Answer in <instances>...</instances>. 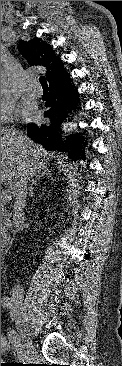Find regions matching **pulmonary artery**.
<instances>
[{
    "label": "pulmonary artery",
    "instance_id": "e3ab8cb5",
    "mask_svg": "<svg viewBox=\"0 0 122 366\" xmlns=\"http://www.w3.org/2000/svg\"><path fill=\"white\" fill-rule=\"evenodd\" d=\"M24 91L34 97H39L42 95V89L41 87L33 81L27 82L24 85Z\"/></svg>",
    "mask_w": 122,
    "mask_h": 366
}]
</instances>
